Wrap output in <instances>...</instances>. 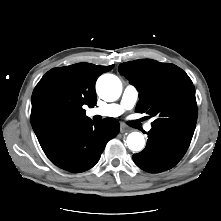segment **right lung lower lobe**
Masks as SVG:
<instances>
[{
  "instance_id": "obj_1",
  "label": "right lung lower lobe",
  "mask_w": 221,
  "mask_h": 221,
  "mask_svg": "<svg viewBox=\"0 0 221 221\" xmlns=\"http://www.w3.org/2000/svg\"><path fill=\"white\" fill-rule=\"evenodd\" d=\"M119 129V122L114 118H106L100 123L86 120L61 128L40 145L56 166L80 173L98 162L106 143L118 134Z\"/></svg>"
}]
</instances>
